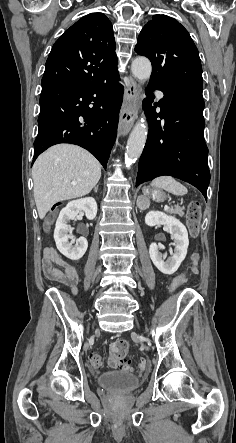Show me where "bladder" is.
<instances>
[{
    "mask_svg": "<svg viewBox=\"0 0 236 443\" xmlns=\"http://www.w3.org/2000/svg\"><path fill=\"white\" fill-rule=\"evenodd\" d=\"M140 383V378L129 371L105 372L97 379V385L107 390L131 391Z\"/></svg>",
    "mask_w": 236,
    "mask_h": 443,
    "instance_id": "bladder-1",
    "label": "bladder"
}]
</instances>
